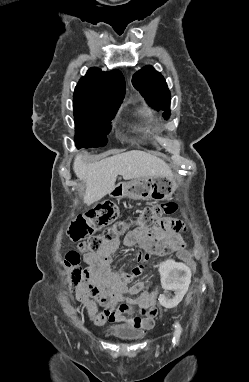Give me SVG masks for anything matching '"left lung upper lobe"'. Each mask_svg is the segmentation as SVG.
<instances>
[{
	"mask_svg": "<svg viewBox=\"0 0 249 382\" xmlns=\"http://www.w3.org/2000/svg\"><path fill=\"white\" fill-rule=\"evenodd\" d=\"M133 86L140 91L147 103L156 110H164L167 119L170 114V92L163 76L152 66H146L132 77Z\"/></svg>",
	"mask_w": 249,
	"mask_h": 382,
	"instance_id": "obj_1",
	"label": "left lung upper lobe"
}]
</instances>
